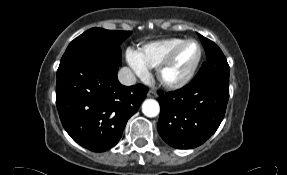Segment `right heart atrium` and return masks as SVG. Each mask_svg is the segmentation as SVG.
I'll return each mask as SVG.
<instances>
[{"instance_id":"1","label":"right heart atrium","mask_w":287,"mask_h":175,"mask_svg":"<svg viewBox=\"0 0 287 175\" xmlns=\"http://www.w3.org/2000/svg\"><path fill=\"white\" fill-rule=\"evenodd\" d=\"M126 61L138 77L142 79L149 77V69L141 62L137 51L133 49H127Z\"/></svg>"}]
</instances>
